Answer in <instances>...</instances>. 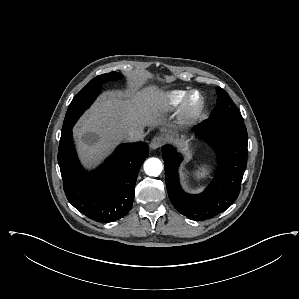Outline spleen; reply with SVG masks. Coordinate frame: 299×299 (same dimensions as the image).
I'll use <instances>...</instances> for the list:
<instances>
[{"instance_id":"1","label":"spleen","mask_w":299,"mask_h":299,"mask_svg":"<svg viewBox=\"0 0 299 299\" xmlns=\"http://www.w3.org/2000/svg\"><path fill=\"white\" fill-rule=\"evenodd\" d=\"M209 173L210 167L208 165H202L198 167V170L196 171V175L198 178H206Z\"/></svg>"}]
</instances>
